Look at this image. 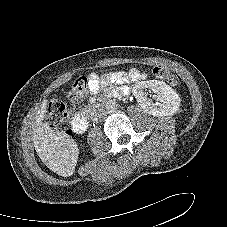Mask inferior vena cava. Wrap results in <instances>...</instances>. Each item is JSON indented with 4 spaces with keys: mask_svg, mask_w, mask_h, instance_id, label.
Listing matches in <instances>:
<instances>
[{
    "mask_svg": "<svg viewBox=\"0 0 227 227\" xmlns=\"http://www.w3.org/2000/svg\"><path fill=\"white\" fill-rule=\"evenodd\" d=\"M105 116V110L103 108H95L90 114V119L93 122H98Z\"/></svg>",
    "mask_w": 227,
    "mask_h": 227,
    "instance_id": "inferior-vena-cava-1",
    "label": "inferior vena cava"
}]
</instances>
